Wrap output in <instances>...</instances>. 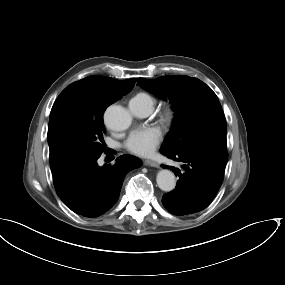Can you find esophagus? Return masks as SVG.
<instances>
[{
    "label": "esophagus",
    "mask_w": 285,
    "mask_h": 285,
    "mask_svg": "<svg viewBox=\"0 0 285 285\" xmlns=\"http://www.w3.org/2000/svg\"><path fill=\"white\" fill-rule=\"evenodd\" d=\"M143 164H144L145 166L159 167V164H158V163H156V162H154V161H152V160H149V159L144 160V161H143Z\"/></svg>",
    "instance_id": "esophagus-1"
}]
</instances>
